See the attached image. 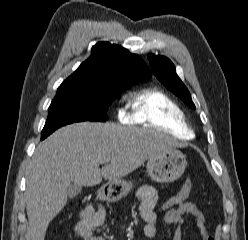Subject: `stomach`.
I'll use <instances>...</instances> for the list:
<instances>
[{
  "label": "stomach",
  "mask_w": 248,
  "mask_h": 240,
  "mask_svg": "<svg viewBox=\"0 0 248 240\" xmlns=\"http://www.w3.org/2000/svg\"><path fill=\"white\" fill-rule=\"evenodd\" d=\"M186 165V156L181 151L172 149L149 158L147 172L153 181L170 183L183 174ZM132 186L131 181H109L101 188L98 197L104 201L115 202L125 197Z\"/></svg>",
  "instance_id": "stomach-1"
}]
</instances>
